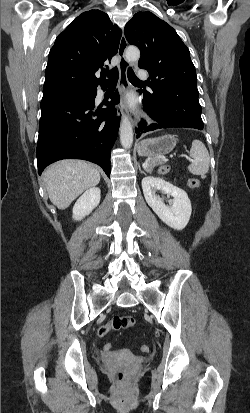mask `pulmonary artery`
<instances>
[{"mask_svg":"<svg viewBox=\"0 0 250 413\" xmlns=\"http://www.w3.org/2000/svg\"><path fill=\"white\" fill-rule=\"evenodd\" d=\"M138 77H139L141 80H146V79L148 78L147 72L144 71V70H139V71H138Z\"/></svg>","mask_w":250,"mask_h":413,"instance_id":"e3ab8cb5","label":"pulmonary artery"}]
</instances>
